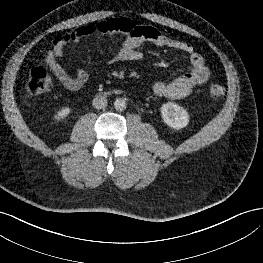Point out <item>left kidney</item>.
<instances>
[{
    "instance_id": "left-kidney-1",
    "label": "left kidney",
    "mask_w": 263,
    "mask_h": 263,
    "mask_svg": "<svg viewBox=\"0 0 263 263\" xmlns=\"http://www.w3.org/2000/svg\"><path fill=\"white\" fill-rule=\"evenodd\" d=\"M164 122L172 129L179 130L189 123L187 111L175 103L168 102L161 107Z\"/></svg>"
}]
</instances>
